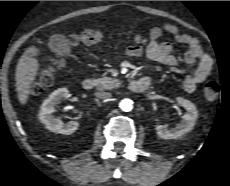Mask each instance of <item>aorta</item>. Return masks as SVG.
Returning <instances> with one entry per match:
<instances>
[{
	"label": "aorta",
	"mask_w": 230,
	"mask_h": 186,
	"mask_svg": "<svg viewBox=\"0 0 230 186\" xmlns=\"http://www.w3.org/2000/svg\"><path fill=\"white\" fill-rule=\"evenodd\" d=\"M119 107L122 111L129 112L133 109V101L131 99L125 98L120 101Z\"/></svg>",
	"instance_id": "1"
}]
</instances>
